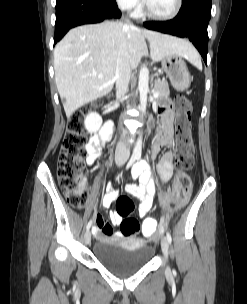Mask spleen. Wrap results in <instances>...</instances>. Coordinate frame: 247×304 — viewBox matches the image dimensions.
<instances>
[{
  "instance_id": "3e777b00",
  "label": "spleen",
  "mask_w": 247,
  "mask_h": 304,
  "mask_svg": "<svg viewBox=\"0 0 247 304\" xmlns=\"http://www.w3.org/2000/svg\"><path fill=\"white\" fill-rule=\"evenodd\" d=\"M190 62L193 64V65H195L197 68H202V63H201V60H200V58H199V56H195V57H193L191 60H190Z\"/></svg>"
}]
</instances>
